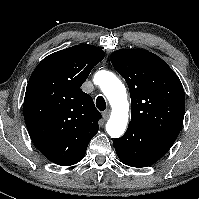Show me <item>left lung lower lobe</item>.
Here are the masks:
<instances>
[{
    "mask_svg": "<svg viewBox=\"0 0 199 199\" xmlns=\"http://www.w3.org/2000/svg\"><path fill=\"white\" fill-rule=\"evenodd\" d=\"M172 141L130 122L126 133L113 140L120 161L132 167H147L157 162L172 147Z\"/></svg>",
    "mask_w": 199,
    "mask_h": 199,
    "instance_id": "obj_1",
    "label": "left lung lower lobe"
}]
</instances>
